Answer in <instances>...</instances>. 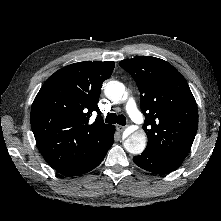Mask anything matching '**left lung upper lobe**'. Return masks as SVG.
<instances>
[{
  "label": "left lung upper lobe",
  "instance_id": "1",
  "mask_svg": "<svg viewBox=\"0 0 221 221\" xmlns=\"http://www.w3.org/2000/svg\"><path fill=\"white\" fill-rule=\"evenodd\" d=\"M119 65L133 77L141 94L148 137L144 151L183 161L198 127L196 101L186 80L155 57L138 56Z\"/></svg>",
  "mask_w": 221,
  "mask_h": 221
}]
</instances>
